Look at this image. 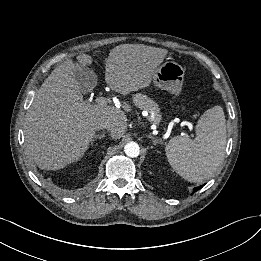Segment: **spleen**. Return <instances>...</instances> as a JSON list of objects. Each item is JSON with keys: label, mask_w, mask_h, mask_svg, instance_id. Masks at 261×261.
Listing matches in <instances>:
<instances>
[{"label": "spleen", "mask_w": 261, "mask_h": 261, "mask_svg": "<svg viewBox=\"0 0 261 261\" xmlns=\"http://www.w3.org/2000/svg\"><path fill=\"white\" fill-rule=\"evenodd\" d=\"M226 123L221 106L208 109L196 125V138L176 136L165 151L171 167L190 182L210 178L224 160Z\"/></svg>", "instance_id": "obj_1"}]
</instances>
